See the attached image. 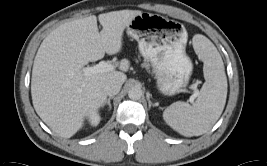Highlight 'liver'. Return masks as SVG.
<instances>
[{"instance_id":"obj_1","label":"liver","mask_w":267,"mask_h":166,"mask_svg":"<svg viewBox=\"0 0 267 166\" xmlns=\"http://www.w3.org/2000/svg\"><path fill=\"white\" fill-rule=\"evenodd\" d=\"M139 10H120L98 16L90 15L64 23L41 43L34 59L31 96L36 113L44 123L63 138L72 137L83 125L85 117L96 112L107 100L106 81L122 84L129 61H120L121 71L85 76L82 68L122 49L123 32Z\"/></svg>"}]
</instances>
